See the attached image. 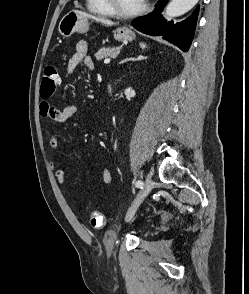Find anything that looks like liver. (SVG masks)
<instances>
[{"label":"liver","mask_w":249,"mask_h":294,"mask_svg":"<svg viewBox=\"0 0 249 294\" xmlns=\"http://www.w3.org/2000/svg\"><path fill=\"white\" fill-rule=\"evenodd\" d=\"M77 12H78L80 15H82V16L88 18V19H93V20H95V21H97V22H100V23L106 25V26H112V25H114V22H112V21H110V20H108V19L95 17V16H92V15H90V14H87V13H85V12H81V11H77Z\"/></svg>","instance_id":"liver-1"}]
</instances>
